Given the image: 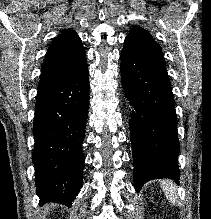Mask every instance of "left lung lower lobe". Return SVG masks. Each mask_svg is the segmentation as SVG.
<instances>
[{"label": "left lung lower lobe", "instance_id": "0a47b994", "mask_svg": "<svg viewBox=\"0 0 211 219\" xmlns=\"http://www.w3.org/2000/svg\"><path fill=\"white\" fill-rule=\"evenodd\" d=\"M121 81L135 112L129 121L137 191L155 178L178 183L177 116L164 56L155 41L126 37Z\"/></svg>", "mask_w": 211, "mask_h": 219}]
</instances>
